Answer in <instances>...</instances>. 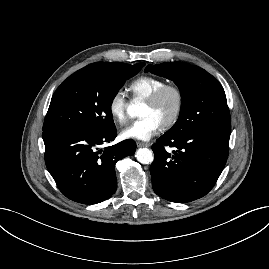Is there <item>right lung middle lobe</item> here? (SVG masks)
I'll return each mask as SVG.
<instances>
[{
	"label": "right lung middle lobe",
	"mask_w": 269,
	"mask_h": 269,
	"mask_svg": "<svg viewBox=\"0 0 269 269\" xmlns=\"http://www.w3.org/2000/svg\"><path fill=\"white\" fill-rule=\"evenodd\" d=\"M142 65L90 64L68 77L54 93L43 131L74 127L95 133L115 129L111 104L126 79Z\"/></svg>",
	"instance_id": "right-lung-middle-lobe-1"
}]
</instances>
